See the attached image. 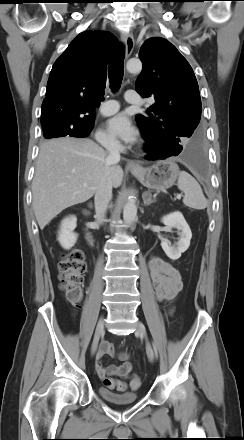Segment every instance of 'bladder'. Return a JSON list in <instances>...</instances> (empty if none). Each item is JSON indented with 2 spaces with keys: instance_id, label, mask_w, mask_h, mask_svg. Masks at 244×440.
<instances>
[{
  "instance_id": "obj_1",
  "label": "bladder",
  "mask_w": 244,
  "mask_h": 440,
  "mask_svg": "<svg viewBox=\"0 0 244 440\" xmlns=\"http://www.w3.org/2000/svg\"><path fill=\"white\" fill-rule=\"evenodd\" d=\"M98 394L103 400L112 404H131L139 399L136 391L114 392L103 386L98 388Z\"/></svg>"
}]
</instances>
